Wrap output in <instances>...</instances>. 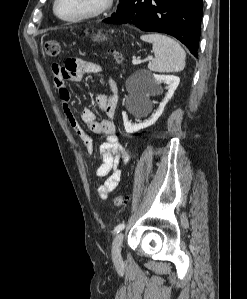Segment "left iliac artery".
<instances>
[{"instance_id":"left-iliac-artery-1","label":"left iliac artery","mask_w":247,"mask_h":299,"mask_svg":"<svg viewBox=\"0 0 247 299\" xmlns=\"http://www.w3.org/2000/svg\"><path fill=\"white\" fill-rule=\"evenodd\" d=\"M125 223L118 224L114 229V234L119 233L122 229H124Z\"/></svg>"}]
</instances>
